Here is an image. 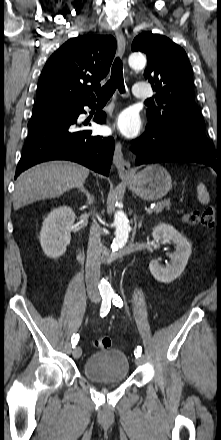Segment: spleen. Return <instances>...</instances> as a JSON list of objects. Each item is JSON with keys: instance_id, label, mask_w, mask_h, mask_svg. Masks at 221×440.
Segmentation results:
<instances>
[{"instance_id": "spleen-1", "label": "spleen", "mask_w": 221, "mask_h": 440, "mask_svg": "<svg viewBox=\"0 0 221 440\" xmlns=\"http://www.w3.org/2000/svg\"><path fill=\"white\" fill-rule=\"evenodd\" d=\"M198 192V200L201 204H208L210 201L209 193L207 192V189L203 183H200L197 187Z\"/></svg>"}]
</instances>
